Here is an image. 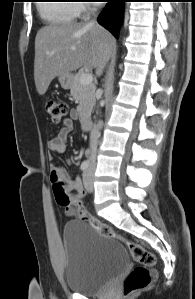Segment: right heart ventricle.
Returning <instances> with one entry per match:
<instances>
[{
    "label": "right heart ventricle",
    "mask_w": 195,
    "mask_h": 299,
    "mask_svg": "<svg viewBox=\"0 0 195 299\" xmlns=\"http://www.w3.org/2000/svg\"><path fill=\"white\" fill-rule=\"evenodd\" d=\"M39 6V13L49 25L72 23L78 13V6L70 0L48 1Z\"/></svg>",
    "instance_id": "right-heart-ventricle-1"
}]
</instances>
